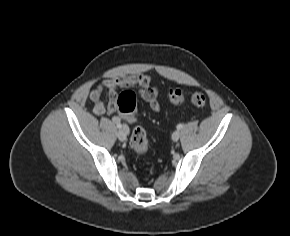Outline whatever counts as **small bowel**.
<instances>
[{
	"label": "small bowel",
	"instance_id": "1",
	"mask_svg": "<svg viewBox=\"0 0 290 236\" xmlns=\"http://www.w3.org/2000/svg\"><path fill=\"white\" fill-rule=\"evenodd\" d=\"M119 88L137 89L142 99L148 103L150 108L153 111H159L158 89L151 85V78L144 74H131L105 79L91 91L90 100L93 102V112L96 115L101 116L105 113L112 114L116 111L117 89ZM104 91H107L109 95V103L107 106L102 101ZM123 118L128 119L126 116ZM115 120L119 121L120 118L116 117Z\"/></svg>",
	"mask_w": 290,
	"mask_h": 236
}]
</instances>
